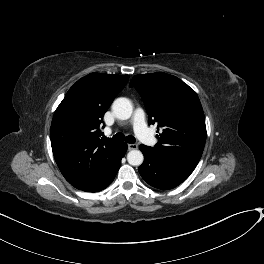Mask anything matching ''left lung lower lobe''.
Here are the masks:
<instances>
[{"instance_id": "obj_1", "label": "left lung lower lobe", "mask_w": 264, "mask_h": 264, "mask_svg": "<svg viewBox=\"0 0 264 264\" xmlns=\"http://www.w3.org/2000/svg\"><path fill=\"white\" fill-rule=\"evenodd\" d=\"M139 148L144 154V162L138 171L152 187L172 189L186 180L195 169L184 163L164 159L148 146L140 145Z\"/></svg>"}]
</instances>
